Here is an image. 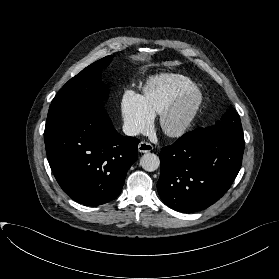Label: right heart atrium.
<instances>
[{
  "mask_svg": "<svg viewBox=\"0 0 279 279\" xmlns=\"http://www.w3.org/2000/svg\"><path fill=\"white\" fill-rule=\"evenodd\" d=\"M123 127L128 135L136 136L146 132L152 124L153 115L143 97L132 90H126L120 101Z\"/></svg>",
  "mask_w": 279,
  "mask_h": 279,
  "instance_id": "1",
  "label": "right heart atrium"
}]
</instances>
